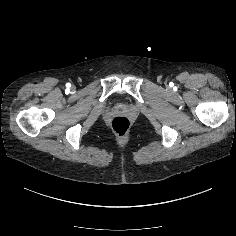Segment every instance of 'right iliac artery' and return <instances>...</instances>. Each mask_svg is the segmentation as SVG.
<instances>
[{"label":"right iliac artery","instance_id":"1","mask_svg":"<svg viewBox=\"0 0 236 236\" xmlns=\"http://www.w3.org/2000/svg\"><path fill=\"white\" fill-rule=\"evenodd\" d=\"M70 86H71V84H70V83H67V84H66V87H68V88H69Z\"/></svg>","mask_w":236,"mask_h":236}]
</instances>
